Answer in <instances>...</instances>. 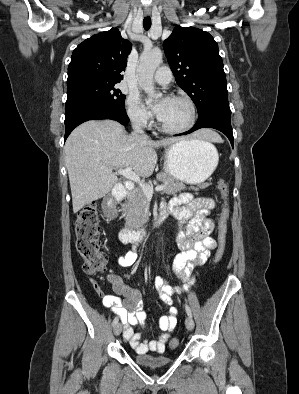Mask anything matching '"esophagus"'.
<instances>
[{
    "mask_svg": "<svg viewBox=\"0 0 299 394\" xmlns=\"http://www.w3.org/2000/svg\"><path fill=\"white\" fill-rule=\"evenodd\" d=\"M145 15H146V16L150 15V12L146 11V12H145Z\"/></svg>",
    "mask_w": 299,
    "mask_h": 394,
    "instance_id": "esophagus-1",
    "label": "esophagus"
}]
</instances>
